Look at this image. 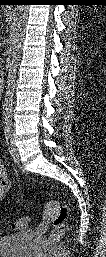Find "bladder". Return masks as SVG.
<instances>
[{
    "instance_id": "31cf9c89",
    "label": "bladder",
    "mask_w": 106,
    "mask_h": 257,
    "mask_svg": "<svg viewBox=\"0 0 106 257\" xmlns=\"http://www.w3.org/2000/svg\"><path fill=\"white\" fill-rule=\"evenodd\" d=\"M34 233L24 230L15 235L0 238V255L2 257H26L33 245Z\"/></svg>"
}]
</instances>
